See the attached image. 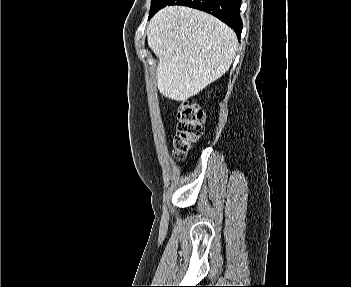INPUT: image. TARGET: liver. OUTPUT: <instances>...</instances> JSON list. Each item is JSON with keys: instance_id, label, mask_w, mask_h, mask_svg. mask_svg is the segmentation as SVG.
Instances as JSON below:
<instances>
[{"instance_id": "6515ba94", "label": "liver", "mask_w": 351, "mask_h": 287, "mask_svg": "<svg viewBox=\"0 0 351 287\" xmlns=\"http://www.w3.org/2000/svg\"><path fill=\"white\" fill-rule=\"evenodd\" d=\"M147 41L159 59L158 89L175 101L187 100L224 75L238 44L219 19L184 6L158 11L148 24Z\"/></svg>"}]
</instances>
